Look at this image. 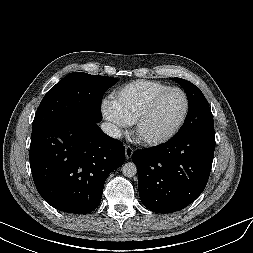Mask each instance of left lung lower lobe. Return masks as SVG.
<instances>
[{"label": "left lung lower lobe", "instance_id": "0a47b994", "mask_svg": "<svg viewBox=\"0 0 253 253\" xmlns=\"http://www.w3.org/2000/svg\"><path fill=\"white\" fill-rule=\"evenodd\" d=\"M214 150V126L177 133L164 144L136 150L132 161L138 169L142 203L156 213H172L188 206L207 184Z\"/></svg>", "mask_w": 253, "mask_h": 253}]
</instances>
